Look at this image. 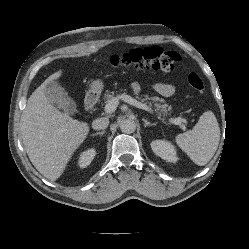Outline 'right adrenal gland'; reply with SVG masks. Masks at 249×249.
I'll use <instances>...</instances> for the list:
<instances>
[{
  "label": "right adrenal gland",
  "instance_id": "right-adrenal-gland-1",
  "mask_svg": "<svg viewBox=\"0 0 249 249\" xmlns=\"http://www.w3.org/2000/svg\"><path fill=\"white\" fill-rule=\"evenodd\" d=\"M104 133H105V130H103L101 132H96V133L92 134L91 136L103 135Z\"/></svg>",
  "mask_w": 249,
  "mask_h": 249
}]
</instances>
